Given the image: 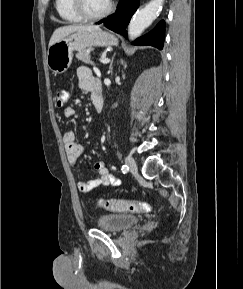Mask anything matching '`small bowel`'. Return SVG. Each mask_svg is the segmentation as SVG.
<instances>
[{"instance_id":"small-bowel-1","label":"small bowel","mask_w":243,"mask_h":289,"mask_svg":"<svg viewBox=\"0 0 243 289\" xmlns=\"http://www.w3.org/2000/svg\"><path fill=\"white\" fill-rule=\"evenodd\" d=\"M76 76L79 87L91 94V101L95 107L94 91L97 87H101L100 81L93 75L92 71L85 66H81L76 70ZM75 114V109L71 106L64 109V115L67 118H74ZM62 139L68 161L71 164H75L83 154V147L76 141L75 133L71 130L65 131ZM94 169L98 177L89 181H79L77 184L79 191L88 193L97 188L109 185L116 187L122 186V180L113 176L103 161L95 162Z\"/></svg>"}]
</instances>
